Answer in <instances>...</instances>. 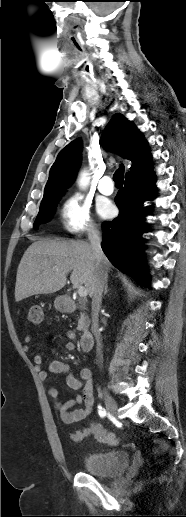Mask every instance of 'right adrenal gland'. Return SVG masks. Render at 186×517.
<instances>
[{"instance_id": "right-adrenal-gland-1", "label": "right adrenal gland", "mask_w": 186, "mask_h": 517, "mask_svg": "<svg viewBox=\"0 0 186 517\" xmlns=\"http://www.w3.org/2000/svg\"><path fill=\"white\" fill-rule=\"evenodd\" d=\"M109 289H108V285L106 284L105 285V291H104V295H106L108 293Z\"/></svg>"}]
</instances>
